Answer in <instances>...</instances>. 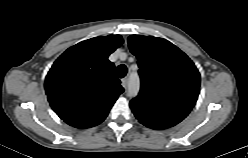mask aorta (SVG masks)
Listing matches in <instances>:
<instances>
[{
    "mask_svg": "<svg viewBox=\"0 0 248 158\" xmlns=\"http://www.w3.org/2000/svg\"><path fill=\"white\" fill-rule=\"evenodd\" d=\"M140 87L139 78L136 75H131L129 85H128V93L130 96H136Z\"/></svg>",
    "mask_w": 248,
    "mask_h": 158,
    "instance_id": "762f6f07",
    "label": "aorta"
}]
</instances>
